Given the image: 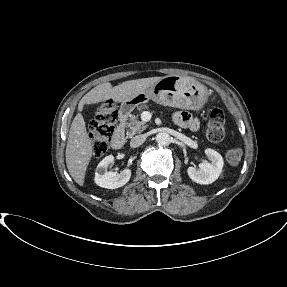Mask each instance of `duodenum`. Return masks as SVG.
<instances>
[{
    "instance_id": "410a0bca",
    "label": "duodenum",
    "mask_w": 287,
    "mask_h": 287,
    "mask_svg": "<svg viewBox=\"0 0 287 287\" xmlns=\"http://www.w3.org/2000/svg\"><path fill=\"white\" fill-rule=\"evenodd\" d=\"M127 120V114L124 112L122 113L120 117V122L118 124V127L113 135L112 138V146L115 149H120L125 144V124Z\"/></svg>"
}]
</instances>
